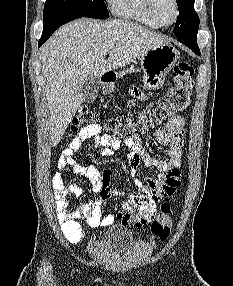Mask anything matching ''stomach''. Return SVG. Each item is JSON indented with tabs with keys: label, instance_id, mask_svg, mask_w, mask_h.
I'll list each match as a JSON object with an SVG mask.
<instances>
[{
	"label": "stomach",
	"instance_id": "stomach-1",
	"mask_svg": "<svg viewBox=\"0 0 233 286\" xmlns=\"http://www.w3.org/2000/svg\"><path fill=\"white\" fill-rule=\"evenodd\" d=\"M179 52L171 44L159 45L148 51L141 58L143 87L145 89H159L165 82L167 73L177 63Z\"/></svg>",
	"mask_w": 233,
	"mask_h": 286
}]
</instances>
